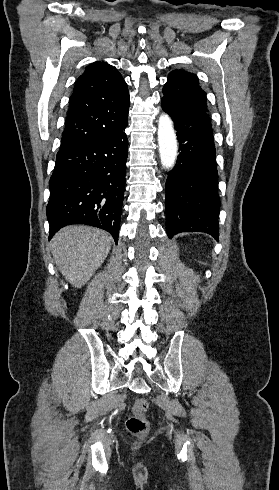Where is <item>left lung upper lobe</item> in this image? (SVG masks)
<instances>
[{
  "instance_id": "left-lung-upper-lobe-1",
  "label": "left lung upper lobe",
  "mask_w": 279,
  "mask_h": 490,
  "mask_svg": "<svg viewBox=\"0 0 279 490\" xmlns=\"http://www.w3.org/2000/svg\"><path fill=\"white\" fill-rule=\"evenodd\" d=\"M164 98L189 110L207 114L206 93L200 88L196 75L172 71L163 88Z\"/></svg>"
}]
</instances>
